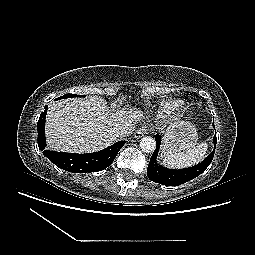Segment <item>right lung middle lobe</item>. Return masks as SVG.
<instances>
[{
  "instance_id": "right-lung-middle-lobe-1",
  "label": "right lung middle lobe",
  "mask_w": 255,
  "mask_h": 255,
  "mask_svg": "<svg viewBox=\"0 0 255 255\" xmlns=\"http://www.w3.org/2000/svg\"><path fill=\"white\" fill-rule=\"evenodd\" d=\"M71 97H79V95H74V94L69 93V94H65V95H63V96H61V97H59L55 100L64 99V98H71ZM82 97H85V95H83Z\"/></svg>"
}]
</instances>
